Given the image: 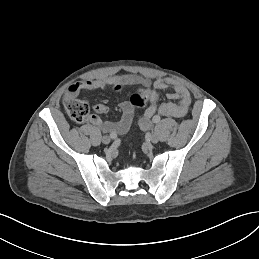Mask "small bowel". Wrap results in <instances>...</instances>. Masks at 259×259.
Listing matches in <instances>:
<instances>
[{"instance_id":"small-bowel-1","label":"small bowel","mask_w":259,"mask_h":259,"mask_svg":"<svg viewBox=\"0 0 259 259\" xmlns=\"http://www.w3.org/2000/svg\"><path fill=\"white\" fill-rule=\"evenodd\" d=\"M132 85H142L149 90V105L146 107L143 116L139 121L141 129H149L151 118L156 112H159L165 116L177 118L184 117L188 113L192 101L191 94L185 86L171 78L158 79L151 82L137 75L124 74L95 80H87L69 86L65 94V98L66 100L75 98L81 92L86 91L101 90L109 87L119 90L125 86ZM167 88L173 89V92L167 94L170 101L164 102L158 107L157 91ZM173 100H177L178 102L175 103ZM120 109L122 116L118 121H105L102 120L98 114H106L110 111V108L105 104H96L93 107L95 114L90 115L89 122L95 126H98L104 132L116 133L119 135L124 134L131 126L134 117V106L130 103V101H123L120 104Z\"/></svg>"}]
</instances>
